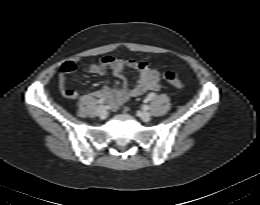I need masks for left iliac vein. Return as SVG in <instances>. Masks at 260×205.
I'll list each match as a JSON object with an SVG mask.
<instances>
[{
  "label": "left iliac vein",
  "instance_id": "1",
  "mask_svg": "<svg viewBox=\"0 0 260 205\" xmlns=\"http://www.w3.org/2000/svg\"><path fill=\"white\" fill-rule=\"evenodd\" d=\"M139 117L141 118V120H143L144 122H148L151 119V115L149 112L147 111H141L139 112Z\"/></svg>",
  "mask_w": 260,
  "mask_h": 205
}]
</instances>
